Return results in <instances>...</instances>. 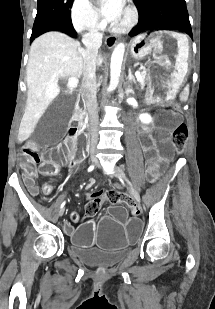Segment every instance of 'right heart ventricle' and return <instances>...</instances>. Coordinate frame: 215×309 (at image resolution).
<instances>
[{"mask_svg": "<svg viewBox=\"0 0 215 309\" xmlns=\"http://www.w3.org/2000/svg\"><path fill=\"white\" fill-rule=\"evenodd\" d=\"M89 44H97V43H89Z\"/></svg>", "mask_w": 215, "mask_h": 309, "instance_id": "e07e8e85", "label": "right heart ventricle"}]
</instances>
